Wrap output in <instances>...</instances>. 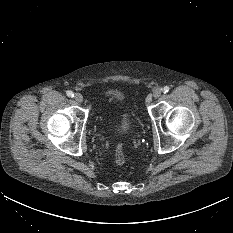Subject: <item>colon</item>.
Segmentation results:
<instances>
[{
  "mask_svg": "<svg viewBox=\"0 0 233 233\" xmlns=\"http://www.w3.org/2000/svg\"><path fill=\"white\" fill-rule=\"evenodd\" d=\"M114 159H115L116 164H118V165H122L126 161V156H125V153L123 150V146L121 144L118 145V147L116 149Z\"/></svg>",
  "mask_w": 233,
  "mask_h": 233,
  "instance_id": "colon-1",
  "label": "colon"
}]
</instances>
